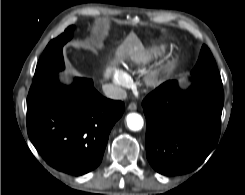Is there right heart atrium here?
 I'll return each instance as SVG.
<instances>
[{"label":"right heart atrium","instance_id":"1","mask_svg":"<svg viewBox=\"0 0 245 195\" xmlns=\"http://www.w3.org/2000/svg\"><path fill=\"white\" fill-rule=\"evenodd\" d=\"M112 80L114 84L120 87H127L130 84L129 76L119 69L114 70Z\"/></svg>","mask_w":245,"mask_h":195}]
</instances>
